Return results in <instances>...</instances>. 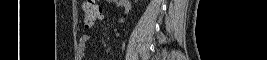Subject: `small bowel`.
<instances>
[{"mask_svg": "<svg viewBox=\"0 0 267 60\" xmlns=\"http://www.w3.org/2000/svg\"><path fill=\"white\" fill-rule=\"evenodd\" d=\"M125 8H127V6H125ZM89 40V36L87 34H84L81 36V44L85 45Z\"/></svg>", "mask_w": 267, "mask_h": 60, "instance_id": "1", "label": "small bowel"}]
</instances>
